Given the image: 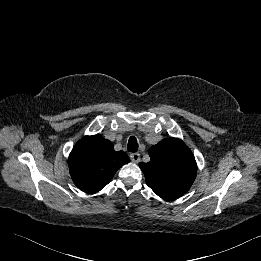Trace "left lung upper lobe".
<instances>
[{
	"mask_svg": "<svg viewBox=\"0 0 261 261\" xmlns=\"http://www.w3.org/2000/svg\"><path fill=\"white\" fill-rule=\"evenodd\" d=\"M150 161L140 163L147 185L161 198L184 195L193 184L197 165L191 150L177 138L163 139L149 149Z\"/></svg>",
	"mask_w": 261,
	"mask_h": 261,
	"instance_id": "5c2ea615",
	"label": "left lung upper lobe"
}]
</instances>
